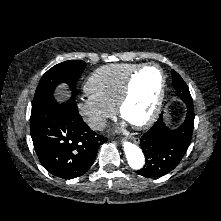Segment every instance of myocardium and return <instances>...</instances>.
<instances>
[{"label":"myocardium","instance_id":"1","mask_svg":"<svg viewBox=\"0 0 221 221\" xmlns=\"http://www.w3.org/2000/svg\"><path fill=\"white\" fill-rule=\"evenodd\" d=\"M147 68H156L160 75H161V87L157 96V99L155 101V105L154 108L151 112V114L148 116L147 119H145L144 121L137 123V124H132V126L138 130H142L145 128H148L149 126H151L159 117L162 106H163V102H164V98H165V93H166V87H167V77L166 74L163 70V68L156 64V63H146V64H142L139 67H137L127 78L122 94L117 102L116 105V111L117 113L123 117V109L125 107V105L128 103V101L131 98L132 95V87H133V81L135 79V77L144 69Z\"/></svg>","mask_w":221,"mask_h":221}]
</instances>
